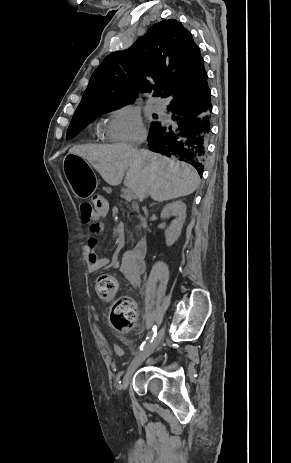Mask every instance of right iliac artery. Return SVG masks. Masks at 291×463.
Returning a JSON list of instances; mask_svg holds the SVG:
<instances>
[{
  "instance_id": "82829eb1",
  "label": "right iliac artery",
  "mask_w": 291,
  "mask_h": 463,
  "mask_svg": "<svg viewBox=\"0 0 291 463\" xmlns=\"http://www.w3.org/2000/svg\"><path fill=\"white\" fill-rule=\"evenodd\" d=\"M156 334H157V327H156V325H154L153 328H152V331H151L150 335L146 338V341H144V342L142 343V345L140 346V350H143V346H144V345H147V344H149L150 342H152L153 339L156 337Z\"/></svg>"
}]
</instances>
